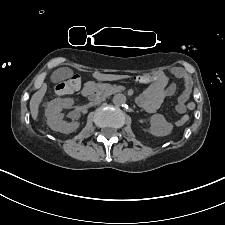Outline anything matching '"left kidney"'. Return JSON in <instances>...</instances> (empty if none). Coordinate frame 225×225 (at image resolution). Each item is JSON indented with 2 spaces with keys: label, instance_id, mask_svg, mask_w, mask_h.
<instances>
[{
  "label": "left kidney",
  "instance_id": "left-kidney-1",
  "mask_svg": "<svg viewBox=\"0 0 225 225\" xmlns=\"http://www.w3.org/2000/svg\"><path fill=\"white\" fill-rule=\"evenodd\" d=\"M150 132L154 136H167L173 130V125L166 121L161 114H154L150 118Z\"/></svg>",
  "mask_w": 225,
  "mask_h": 225
}]
</instances>
